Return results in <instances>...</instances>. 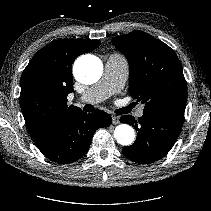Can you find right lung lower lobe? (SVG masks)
<instances>
[{
	"label": "right lung lower lobe",
	"instance_id": "obj_1",
	"mask_svg": "<svg viewBox=\"0 0 211 211\" xmlns=\"http://www.w3.org/2000/svg\"><path fill=\"white\" fill-rule=\"evenodd\" d=\"M111 122V116L102 110L89 114L81 110L67 117L36 146L51 161L73 163L87 153L95 131Z\"/></svg>",
	"mask_w": 211,
	"mask_h": 211
}]
</instances>
